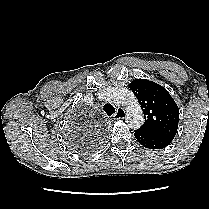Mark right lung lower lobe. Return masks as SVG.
Listing matches in <instances>:
<instances>
[{
	"label": "right lung lower lobe",
	"mask_w": 209,
	"mask_h": 209,
	"mask_svg": "<svg viewBox=\"0 0 209 209\" xmlns=\"http://www.w3.org/2000/svg\"><path fill=\"white\" fill-rule=\"evenodd\" d=\"M98 144H99V142H92V143H90V144H84V143H82V144L78 145L77 148H78L79 150L84 151V150H88V149H90V148H95Z\"/></svg>",
	"instance_id": "right-lung-lower-lobe-1"
}]
</instances>
